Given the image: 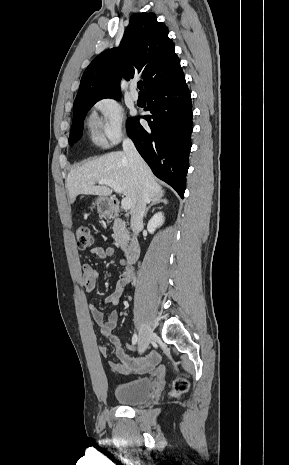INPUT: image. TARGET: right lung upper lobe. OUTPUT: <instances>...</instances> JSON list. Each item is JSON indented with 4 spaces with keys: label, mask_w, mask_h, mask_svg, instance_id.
<instances>
[{
    "label": "right lung upper lobe",
    "mask_w": 289,
    "mask_h": 465,
    "mask_svg": "<svg viewBox=\"0 0 289 465\" xmlns=\"http://www.w3.org/2000/svg\"><path fill=\"white\" fill-rule=\"evenodd\" d=\"M140 75L145 94L184 78L168 28L157 22L154 13L131 16L118 48L97 56L85 70L74 104L120 97V79Z\"/></svg>",
    "instance_id": "right-lung-upper-lobe-1"
}]
</instances>
